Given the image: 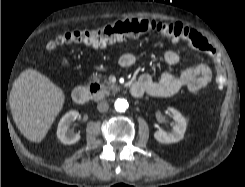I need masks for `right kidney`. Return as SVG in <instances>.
<instances>
[{
	"label": "right kidney",
	"mask_w": 245,
	"mask_h": 187,
	"mask_svg": "<svg viewBox=\"0 0 245 187\" xmlns=\"http://www.w3.org/2000/svg\"><path fill=\"white\" fill-rule=\"evenodd\" d=\"M79 113L75 110L67 112L59 121L57 128V137L65 145H71L78 142L81 138L79 133L70 129V122L76 119Z\"/></svg>",
	"instance_id": "obj_1"
}]
</instances>
